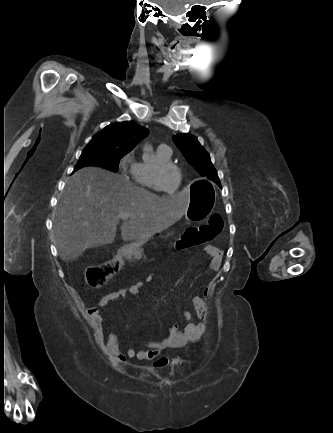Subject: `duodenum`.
Returning <instances> with one entry per match:
<instances>
[{
	"mask_svg": "<svg viewBox=\"0 0 333 433\" xmlns=\"http://www.w3.org/2000/svg\"><path fill=\"white\" fill-rule=\"evenodd\" d=\"M137 241H134L132 244H130L128 241L125 243V244H123L121 247H119L117 250H118V257L119 258H126V257H130V258H133L134 257V254L132 253L133 252V249H138L139 248V246H143L144 245V242H143V238L141 237H138L137 239H136Z\"/></svg>",
	"mask_w": 333,
	"mask_h": 433,
	"instance_id": "obj_1",
	"label": "duodenum"
}]
</instances>
